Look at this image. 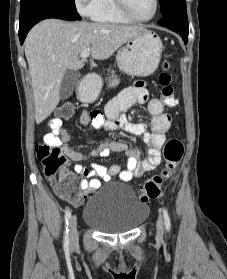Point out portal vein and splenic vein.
Returning <instances> with one entry per match:
<instances>
[{
	"label": "portal vein and splenic vein",
	"mask_w": 227,
	"mask_h": 279,
	"mask_svg": "<svg viewBox=\"0 0 227 279\" xmlns=\"http://www.w3.org/2000/svg\"><path fill=\"white\" fill-rule=\"evenodd\" d=\"M91 47L86 48L82 53H81V58L86 59L90 55Z\"/></svg>",
	"instance_id": "18ae733b"
}]
</instances>
